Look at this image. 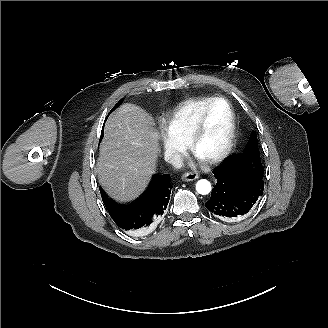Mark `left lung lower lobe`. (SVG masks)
<instances>
[{
    "label": "left lung lower lobe",
    "instance_id": "left-lung-lower-lobe-1",
    "mask_svg": "<svg viewBox=\"0 0 328 328\" xmlns=\"http://www.w3.org/2000/svg\"><path fill=\"white\" fill-rule=\"evenodd\" d=\"M263 170L260 155L252 159L231 156L213 171L217 183L206 208L222 220L246 215L262 195Z\"/></svg>",
    "mask_w": 328,
    "mask_h": 328
}]
</instances>
